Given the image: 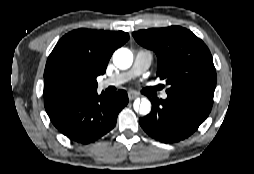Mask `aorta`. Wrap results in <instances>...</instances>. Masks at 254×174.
Listing matches in <instances>:
<instances>
[{"label":"aorta","instance_id":"aorta-1","mask_svg":"<svg viewBox=\"0 0 254 174\" xmlns=\"http://www.w3.org/2000/svg\"><path fill=\"white\" fill-rule=\"evenodd\" d=\"M113 62L119 69H128L133 63V54L127 48H120L114 52ZM134 108L141 115H147L151 111V103L147 98H142L134 103Z\"/></svg>","mask_w":254,"mask_h":174}]
</instances>
